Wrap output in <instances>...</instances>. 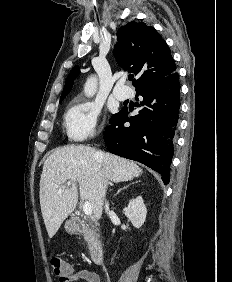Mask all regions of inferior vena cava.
<instances>
[{
  "instance_id": "obj_1",
  "label": "inferior vena cava",
  "mask_w": 232,
  "mask_h": 282,
  "mask_svg": "<svg viewBox=\"0 0 232 282\" xmlns=\"http://www.w3.org/2000/svg\"><path fill=\"white\" fill-rule=\"evenodd\" d=\"M97 160L99 162L100 167L103 169V160L99 155H97ZM104 184H105V187H107V185L109 184L106 179L104 180ZM105 211L109 212V203L108 202H105Z\"/></svg>"
}]
</instances>
